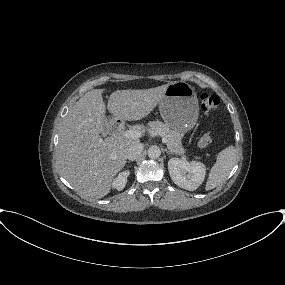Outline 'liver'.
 Masks as SVG:
<instances>
[{"mask_svg": "<svg viewBox=\"0 0 285 285\" xmlns=\"http://www.w3.org/2000/svg\"><path fill=\"white\" fill-rule=\"evenodd\" d=\"M168 85L114 91L107 106L104 89H93L71 107L60 130L57 158L63 177L75 190L92 198L107 195L126 164L129 147L139 142L117 135L102 139L105 110L120 120L143 119L160 103Z\"/></svg>", "mask_w": 285, "mask_h": 285, "instance_id": "1", "label": "liver"}]
</instances>
